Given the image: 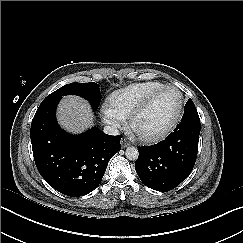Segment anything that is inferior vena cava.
I'll return each mask as SVG.
<instances>
[{"mask_svg": "<svg viewBox=\"0 0 243 243\" xmlns=\"http://www.w3.org/2000/svg\"><path fill=\"white\" fill-rule=\"evenodd\" d=\"M103 132L107 135H112V136L119 135V130L116 125L105 126Z\"/></svg>", "mask_w": 243, "mask_h": 243, "instance_id": "obj_1", "label": "inferior vena cava"}]
</instances>
